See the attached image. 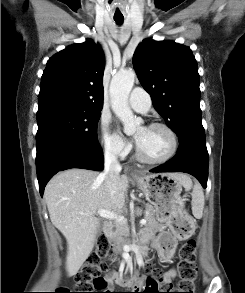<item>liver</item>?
Returning a JSON list of instances; mask_svg holds the SVG:
<instances>
[{"label": "liver", "instance_id": "obj_1", "mask_svg": "<svg viewBox=\"0 0 245 293\" xmlns=\"http://www.w3.org/2000/svg\"><path fill=\"white\" fill-rule=\"evenodd\" d=\"M174 177L189 189L191 180L184 174ZM129 186L126 175L118 180V190L109 193L102 174L85 169H68L54 176L44 192L52 224L67 240L66 270L74 276L89 257L100 226L98 210L120 212Z\"/></svg>", "mask_w": 245, "mask_h": 293}]
</instances>
